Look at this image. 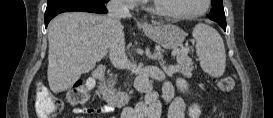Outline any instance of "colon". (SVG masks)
Instances as JSON below:
<instances>
[{
	"label": "colon",
	"instance_id": "5ec220e1",
	"mask_svg": "<svg viewBox=\"0 0 273 118\" xmlns=\"http://www.w3.org/2000/svg\"><path fill=\"white\" fill-rule=\"evenodd\" d=\"M218 88L223 92H231L235 88V81L232 77H222L217 80ZM92 82L75 83L68 91V101L72 105H83L90 97ZM62 108L61 101L42 86L36 92V111L41 118L55 116Z\"/></svg>",
	"mask_w": 273,
	"mask_h": 118
}]
</instances>
